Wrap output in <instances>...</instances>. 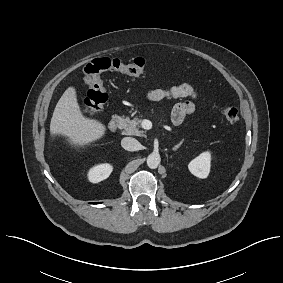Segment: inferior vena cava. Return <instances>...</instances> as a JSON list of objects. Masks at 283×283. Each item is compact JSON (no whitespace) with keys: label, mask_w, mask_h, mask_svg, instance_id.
Instances as JSON below:
<instances>
[{"label":"inferior vena cava","mask_w":283,"mask_h":283,"mask_svg":"<svg viewBox=\"0 0 283 283\" xmlns=\"http://www.w3.org/2000/svg\"><path fill=\"white\" fill-rule=\"evenodd\" d=\"M122 147L127 151H137L140 149V143L132 137H125L121 140Z\"/></svg>","instance_id":"obj_1"}]
</instances>
